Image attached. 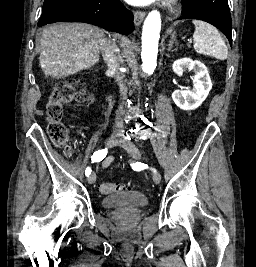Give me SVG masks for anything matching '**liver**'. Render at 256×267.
Here are the masks:
<instances>
[{
	"instance_id": "liver-1",
	"label": "liver",
	"mask_w": 256,
	"mask_h": 267,
	"mask_svg": "<svg viewBox=\"0 0 256 267\" xmlns=\"http://www.w3.org/2000/svg\"><path fill=\"white\" fill-rule=\"evenodd\" d=\"M105 34L90 24H51L41 34L40 66L46 76L66 78L99 62Z\"/></svg>"
}]
</instances>
